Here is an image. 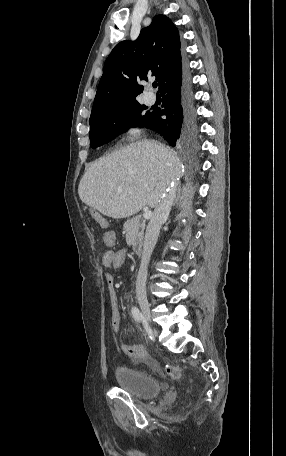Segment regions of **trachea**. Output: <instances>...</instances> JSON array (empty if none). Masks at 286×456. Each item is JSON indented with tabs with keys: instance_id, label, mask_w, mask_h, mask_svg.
I'll list each match as a JSON object with an SVG mask.
<instances>
[{
	"instance_id": "trachea-1",
	"label": "trachea",
	"mask_w": 286,
	"mask_h": 456,
	"mask_svg": "<svg viewBox=\"0 0 286 456\" xmlns=\"http://www.w3.org/2000/svg\"><path fill=\"white\" fill-rule=\"evenodd\" d=\"M157 85H158L157 82H154V83L152 84V86H153L154 88H156Z\"/></svg>"
}]
</instances>
